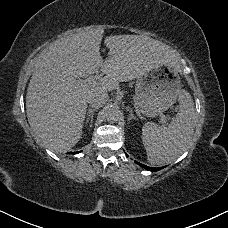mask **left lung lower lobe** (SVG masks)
Masks as SVG:
<instances>
[{"label":"left lung lower lobe","instance_id":"1","mask_svg":"<svg viewBox=\"0 0 228 228\" xmlns=\"http://www.w3.org/2000/svg\"><path fill=\"white\" fill-rule=\"evenodd\" d=\"M138 165H140L141 167L145 168L146 170H149V171H159L160 169H162L163 167H160V168H151V167H148L146 165H143L141 163H138L136 162Z\"/></svg>","mask_w":228,"mask_h":228}]
</instances>
